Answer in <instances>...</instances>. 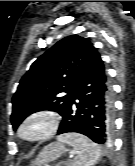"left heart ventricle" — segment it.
Instances as JSON below:
<instances>
[{
  "mask_svg": "<svg viewBox=\"0 0 135 166\" xmlns=\"http://www.w3.org/2000/svg\"><path fill=\"white\" fill-rule=\"evenodd\" d=\"M43 126H44V125H43L42 122H40V121L35 122V123H33V124L29 127L28 132H29V133H37V132H39L40 130H42Z\"/></svg>",
  "mask_w": 135,
  "mask_h": 166,
  "instance_id": "left-heart-ventricle-1",
  "label": "left heart ventricle"
}]
</instances>
